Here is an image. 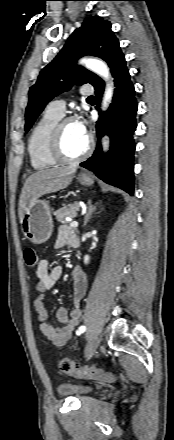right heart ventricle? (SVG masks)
Listing matches in <instances>:
<instances>
[{"label":"right heart ventricle","mask_w":174,"mask_h":440,"mask_svg":"<svg viewBox=\"0 0 174 440\" xmlns=\"http://www.w3.org/2000/svg\"><path fill=\"white\" fill-rule=\"evenodd\" d=\"M60 116L47 110L32 128L28 138V154L31 166L35 170H45L58 165L50 152L52 131Z\"/></svg>","instance_id":"obj_1"}]
</instances>
